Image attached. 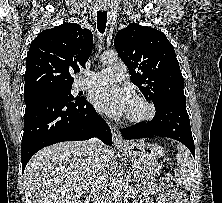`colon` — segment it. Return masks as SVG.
Here are the masks:
<instances>
[{
    "mask_svg": "<svg viewBox=\"0 0 222 203\" xmlns=\"http://www.w3.org/2000/svg\"><path fill=\"white\" fill-rule=\"evenodd\" d=\"M167 182L171 187L173 188L177 187V181L172 174H168Z\"/></svg>",
    "mask_w": 222,
    "mask_h": 203,
    "instance_id": "obj_1",
    "label": "colon"
}]
</instances>
